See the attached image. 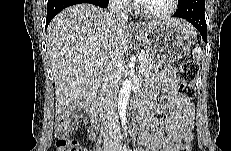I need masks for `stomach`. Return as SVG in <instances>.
Here are the masks:
<instances>
[{
	"label": "stomach",
	"mask_w": 231,
	"mask_h": 151,
	"mask_svg": "<svg viewBox=\"0 0 231 151\" xmlns=\"http://www.w3.org/2000/svg\"><path fill=\"white\" fill-rule=\"evenodd\" d=\"M133 34L148 55L165 63L184 57L192 44L190 35L170 20L156 21L133 31Z\"/></svg>",
	"instance_id": "1"
}]
</instances>
